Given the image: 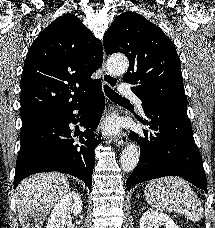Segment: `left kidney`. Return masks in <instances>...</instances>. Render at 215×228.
Here are the masks:
<instances>
[{"label":"left kidney","mask_w":215,"mask_h":228,"mask_svg":"<svg viewBox=\"0 0 215 228\" xmlns=\"http://www.w3.org/2000/svg\"><path fill=\"white\" fill-rule=\"evenodd\" d=\"M140 228H179L173 220L158 210H147L140 218Z\"/></svg>","instance_id":"1"}]
</instances>
